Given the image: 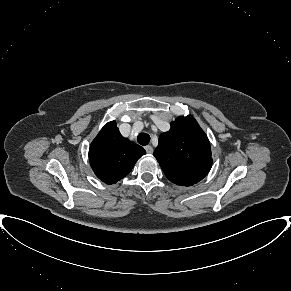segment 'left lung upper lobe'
Returning a JSON list of instances; mask_svg holds the SVG:
<instances>
[{
	"label": "left lung upper lobe",
	"instance_id": "1",
	"mask_svg": "<svg viewBox=\"0 0 291 291\" xmlns=\"http://www.w3.org/2000/svg\"><path fill=\"white\" fill-rule=\"evenodd\" d=\"M154 156L166 177L182 186L198 183L212 166L210 142L192 116L171 123V129L160 135Z\"/></svg>",
	"mask_w": 291,
	"mask_h": 291
}]
</instances>
